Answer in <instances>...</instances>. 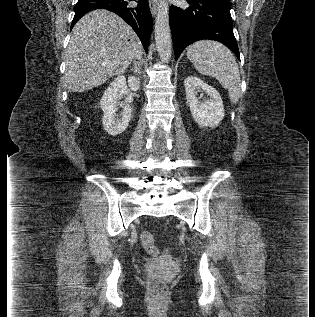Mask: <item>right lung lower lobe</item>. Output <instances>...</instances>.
Wrapping results in <instances>:
<instances>
[{
  "instance_id": "98d812e1",
  "label": "right lung lower lobe",
  "mask_w": 315,
  "mask_h": 317,
  "mask_svg": "<svg viewBox=\"0 0 315 317\" xmlns=\"http://www.w3.org/2000/svg\"><path fill=\"white\" fill-rule=\"evenodd\" d=\"M130 1L133 0H78L71 27L86 13L95 9H107L118 14L134 29L147 52L153 27L148 0H138L137 7H131Z\"/></svg>"
}]
</instances>
